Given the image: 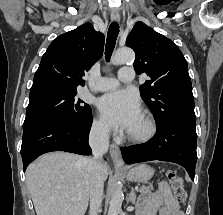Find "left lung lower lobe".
Here are the masks:
<instances>
[{
    "label": "left lung lower lobe",
    "instance_id": "0a47b994",
    "mask_svg": "<svg viewBox=\"0 0 223 215\" xmlns=\"http://www.w3.org/2000/svg\"><path fill=\"white\" fill-rule=\"evenodd\" d=\"M196 124L172 122L157 127L155 136L147 143L121 148L127 164L162 160L183 166L194 181L197 161Z\"/></svg>",
    "mask_w": 223,
    "mask_h": 215
}]
</instances>
